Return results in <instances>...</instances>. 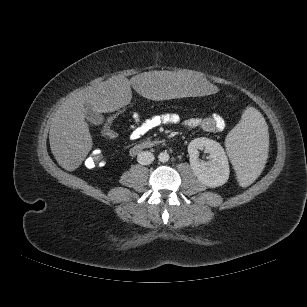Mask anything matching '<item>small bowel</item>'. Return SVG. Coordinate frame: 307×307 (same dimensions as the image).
Instances as JSON below:
<instances>
[{"label": "small bowel", "instance_id": "small-bowel-1", "mask_svg": "<svg viewBox=\"0 0 307 307\" xmlns=\"http://www.w3.org/2000/svg\"><path fill=\"white\" fill-rule=\"evenodd\" d=\"M181 125L186 129L202 128L207 132H221L226 127L225 119L219 114H212L207 118H190L183 120L176 113L155 114L149 118L142 119L140 114H131V123L127 128L130 140H137L160 126Z\"/></svg>", "mask_w": 307, "mask_h": 307}]
</instances>
